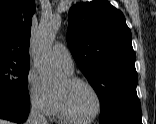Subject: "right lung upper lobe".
<instances>
[{
	"instance_id": "cb5924a9",
	"label": "right lung upper lobe",
	"mask_w": 156,
	"mask_h": 124,
	"mask_svg": "<svg viewBox=\"0 0 156 124\" xmlns=\"http://www.w3.org/2000/svg\"><path fill=\"white\" fill-rule=\"evenodd\" d=\"M34 0H0V62L29 64Z\"/></svg>"
}]
</instances>
